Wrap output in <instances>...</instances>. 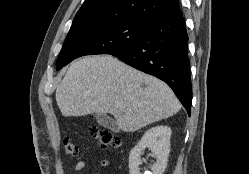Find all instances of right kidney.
I'll list each match as a JSON object with an SVG mask.
<instances>
[{
  "mask_svg": "<svg viewBox=\"0 0 249 174\" xmlns=\"http://www.w3.org/2000/svg\"><path fill=\"white\" fill-rule=\"evenodd\" d=\"M171 129L168 126H156L149 129L129 155L130 174H141L139 166L142 164L141 154L145 148H150L156 163L151 166L152 174H163L170 152Z\"/></svg>",
  "mask_w": 249,
  "mask_h": 174,
  "instance_id": "1",
  "label": "right kidney"
}]
</instances>
